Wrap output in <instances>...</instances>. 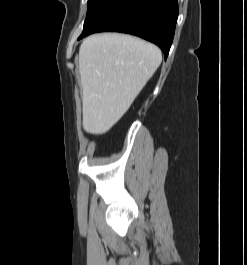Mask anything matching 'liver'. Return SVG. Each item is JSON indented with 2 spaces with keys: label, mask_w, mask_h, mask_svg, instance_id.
Returning a JSON list of instances; mask_svg holds the SVG:
<instances>
[{
  "label": "liver",
  "mask_w": 247,
  "mask_h": 265,
  "mask_svg": "<svg viewBox=\"0 0 247 265\" xmlns=\"http://www.w3.org/2000/svg\"><path fill=\"white\" fill-rule=\"evenodd\" d=\"M162 61L160 49L142 39L104 33L79 49L83 129L104 134L127 112Z\"/></svg>",
  "instance_id": "obj_1"
}]
</instances>
